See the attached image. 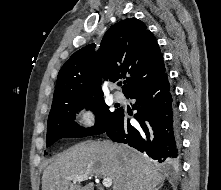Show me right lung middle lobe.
<instances>
[{"mask_svg":"<svg viewBox=\"0 0 221 190\" xmlns=\"http://www.w3.org/2000/svg\"><path fill=\"white\" fill-rule=\"evenodd\" d=\"M84 108L93 111L96 115V123L91 128L82 129L74 121L75 114ZM120 112L121 108L110 111L103 98L54 105L48 117L47 145L50 146L63 137L80 138L102 134L112 126Z\"/></svg>","mask_w":221,"mask_h":190,"instance_id":"right-lung-middle-lobe-1","label":"right lung middle lobe"}]
</instances>
